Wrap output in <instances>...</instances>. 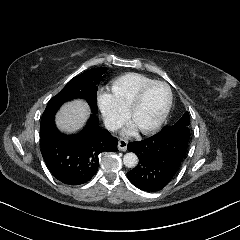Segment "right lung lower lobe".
Instances as JSON below:
<instances>
[{
  "label": "right lung lower lobe",
  "mask_w": 240,
  "mask_h": 240,
  "mask_svg": "<svg viewBox=\"0 0 240 240\" xmlns=\"http://www.w3.org/2000/svg\"><path fill=\"white\" fill-rule=\"evenodd\" d=\"M98 121L93 113L86 127L75 135L61 133L54 118L41 122V153L58 181L67 185L88 182L98 171L100 154L117 151L118 140L101 129Z\"/></svg>",
  "instance_id": "right-lung-lower-lobe-1"
}]
</instances>
